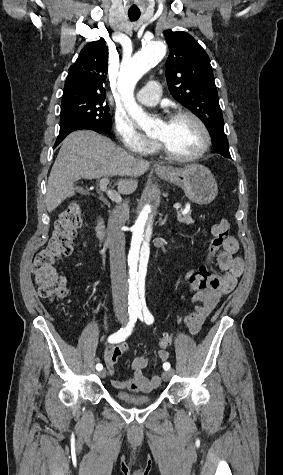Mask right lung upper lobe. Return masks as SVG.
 <instances>
[{
    "label": "right lung upper lobe",
    "instance_id": "right-lung-upper-lobe-1",
    "mask_svg": "<svg viewBox=\"0 0 283 475\" xmlns=\"http://www.w3.org/2000/svg\"><path fill=\"white\" fill-rule=\"evenodd\" d=\"M108 68L105 41L100 39L88 43L80 52L76 62L69 68L63 96H90L105 94L104 85Z\"/></svg>",
    "mask_w": 283,
    "mask_h": 475
}]
</instances>
